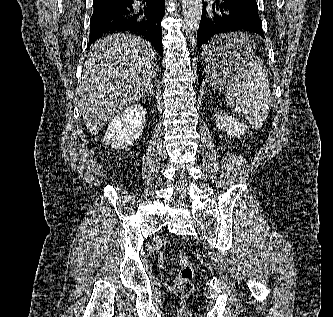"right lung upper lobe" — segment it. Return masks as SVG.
<instances>
[{
    "mask_svg": "<svg viewBox=\"0 0 333 317\" xmlns=\"http://www.w3.org/2000/svg\"><path fill=\"white\" fill-rule=\"evenodd\" d=\"M94 1H106V2H115V1H120V0H94Z\"/></svg>",
    "mask_w": 333,
    "mask_h": 317,
    "instance_id": "cb5924a9",
    "label": "right lung upper lobe"
}]
</instances>
